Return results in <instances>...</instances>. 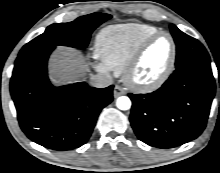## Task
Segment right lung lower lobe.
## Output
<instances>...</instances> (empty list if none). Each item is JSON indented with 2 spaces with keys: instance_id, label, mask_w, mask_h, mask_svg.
<instances>
[{
  "instance_id": "right-lung-lower-lobe-1",
  "label": "right lung lower lobe",
  "mask_w": 220,
  "mask_h": 173,
  "mask_svg": "<svg viewBox=\"0 0 220 173\" xmlns=\"http://www.w3.org/2000/svg\"><path fill=\"white\" fill-rule=\"evenodd\" d=\"M54 48L19 55L10 91L26 136L45 148L64 151L88 141L100 111L113 100V85L94 88L81 82L53 87L46 66Z\"/></svg>"
}]
</instances>
